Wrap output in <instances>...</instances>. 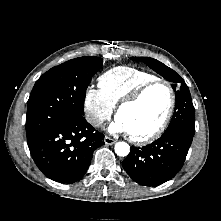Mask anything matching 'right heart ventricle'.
Segmentation results:
<instances>
[{"instance_id":"right-heart-ventricle-1","label":"right heart ventricle","mask_w":221,"mask_h":221,"mask_svg":"<svg viewBox=\"0 0 221 221\" xmlns=\"http://www.w3.org/2000/svg\"><path fill=\"white\" fill-rule=\"evenodd\" d=\"M156 78L153 74L134 67L118 66L104 72L98 78V86L105 100L114 108L141 85Z\"/></svg>"}]
</instances>
